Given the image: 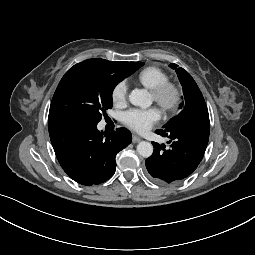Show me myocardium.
Returning a JSON list of instances; mask_svg holds the SVG:
<instances>
[{"mask_svg":"<svg viewBox=\"0 0 255 255\" xmlns=\"http://www.w3.org/2000/svg\"><path fill=\"white\" fill-rule=\"evenodd\" d=\"M155 102L165 111H173L180 104L181 88L173 82L167 81L151 90Z\"/></svg>","mask_w":255,"mask_h":255,"instance_id":"obj_1","label":"myocardium"}]
</instances>
